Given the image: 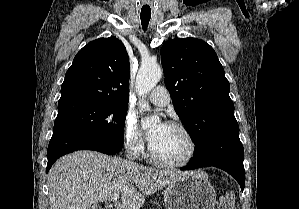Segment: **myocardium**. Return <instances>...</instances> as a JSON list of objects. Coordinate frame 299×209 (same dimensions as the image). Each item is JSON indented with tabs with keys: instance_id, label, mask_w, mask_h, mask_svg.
<instances>
[{
	"instance_id": "f54148a6",
	"label": "myocardium",
	"mask_w": 299,
	"mask_h": 209,
	"mask_svg": "<svg viewBox=\"0 0 299 209\" xmlns=\"http://www.w3.org/2000/svg\"><path fill=\"white\" fill-rule=\"evenodd\" d=\"M166 126L175 128V129L181 131L185 135V137L189 143V151L183 159H181L179 161L168 162V161H164V160H161L158 157H156V155L154 154V152L151 148V145H149L148 156H149L151 162L153 164H155L156 166L162 167V168H179V167L188 165L195 158V156L197 154V149H198L197 141H196L193 133L184 124L177 122V121H169L166 123Z\"/></svg>"
}]
</instances>
